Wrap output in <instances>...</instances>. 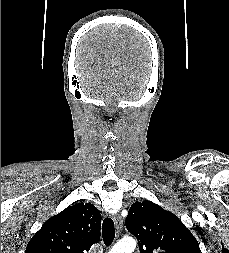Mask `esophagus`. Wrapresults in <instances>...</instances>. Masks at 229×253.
Instances as JSON below:
<instances>
[{"instance_id":"34e87169","label":"esophagus","mask_w":229,"mask_h":253,"mask_svg":"<svg viewBox=\"0 0 229 253\" xmlns=\"http://www.w3.org/2000/svg\"><path fill=\"white\" fill-rule=\"evenodd\" d=\"M112 218H113V220H114L116 229L119 231V230L122 228V225H123V220H122V218H121L118 214H114V215L112 216Z\"/></svg>"}]
</instances>
